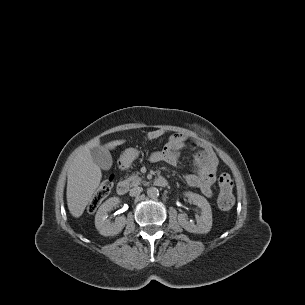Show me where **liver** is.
Returning a JSON list of instances; mask_svg holds the SVG:
<instances>
[{"label":"liver","instance_id":"obj_1","mask_svg":"<svg viewBox=\"0 0 305 305\" xmlns=\"http://www.w3.org/2000/svg\"><path fill=\"white\" fill-rule=\"evenodd\" d=\"M125 143V140H114L107 144V149ZM98 138L90 140L86 145L75 151V156L67 171V205L74 217H80L95 190L100 184L102 173L100 167L93 161L90 149L99 146Z\"/></svg>","mask_w":305,"mask_h":305}]
</instances>
